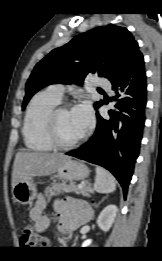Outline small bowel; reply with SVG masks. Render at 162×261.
Listing matches in <instances>:
<instances>
[{"instance_id":"small-bowel-1","label":"small bowel","mask_w":162,"mask_h":261,"mask_svg":"<svg viewBox=\"0 0 162 261\" xmlns=\"http://www.w3.org/2000/svg\"><path fill=\"white\" fill-rule=\"evenodd\" d=\"M44 207L45 199L42 195H39L35 205L29 211V218L33 222L34 228L37 231H42L49 226V220L43 214ZM54 207L61 220L60 229L65 227L69 230L73 225L70 202L67 200H57Z\"/></svg>"}]
</instances>
